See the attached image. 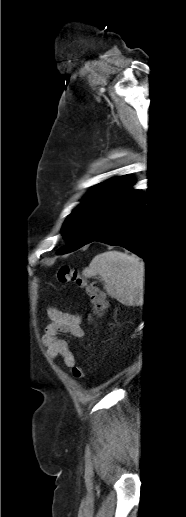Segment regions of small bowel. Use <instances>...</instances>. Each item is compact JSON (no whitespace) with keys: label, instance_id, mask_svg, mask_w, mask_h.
<instances>
[{"label":"small bowel","instance_id":"obj_1","mask_svg":"<svg viewBox=\"0 0 186 517\" xmlns=\"http://www.w3.org/2000/svg\"><path fill=\"white\" fill-rule=\"evenodd\" d=\"M50 323L46 326L43 343L47 348L50 359H61L67 367L75 365V357L71 351L68 341L60 336L70 335L77 339L84 337V330L81 327V316L60 311L56 308L49 309Z\"/></svg>","mask_w":186,"mask_h":517}]
</instances>
